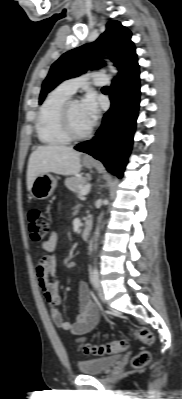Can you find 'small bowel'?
Here are the masks:
<instances>
[{
	"mask_svg": "<svg viewBox=\"0 0 182 399\" xmlns=\"http://www.w3.org/2000/svg\"><path fill=\"white\" fill-rule=\"evenodd\" d=\"M58 236L56 232L42 242V248L48 254L41 256L36 263V275L39 287L44 298L50 305V317L52 322L62 330L84 339L99 322L98 310L93 303L89 287L86 282L79 285V311L73 323L63 319L57 306L61 303L59 282L55 277L57 257L52 252L56 248ZM52 277V280L49 278Z\"/></svg>",
	"mask_w": 182,
	"mask_h": 399,
	"instance_id": "1",
	"label": "small bowel"
}]
</instances>
